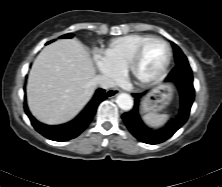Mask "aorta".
Masks as SVG:
<instances>
[{"instance_id": "obj_1", "label": "aorta", "mask_w": 222, "mask_h": 187, "mask_svg": "<svg viewBox=\"0 0 222 187\" xmlns=\"http://www.w3.org/2000/svg\"><path fill=\"white\" fill-rule=\"evenodd\" d=\"M116 102L122 110H130L133 107V99L131 95L127 93L119 94L117 96Z\"/></svg>"}]
</instances>
